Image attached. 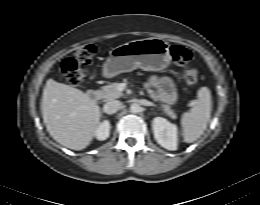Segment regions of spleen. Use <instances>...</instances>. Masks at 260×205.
<instances>
[{
  "label": "spleen",
  "instance_id": "obj_1",
  "mask_svg": "<svg viewBox=\"0 0 260 205\" xmlns=\"http://www.w3.org/2000/svg\"><path fill=\"white\" fill-rule=\"evenodd\" d=\"M197 95L195 106L184 113L181 120L183 139L186 143L196 141L204 133L211 116L210 90L207 87H201Z\"/></svg>",
  "mask_w": 260,
  "mask_h": 205
}]
</instances>
